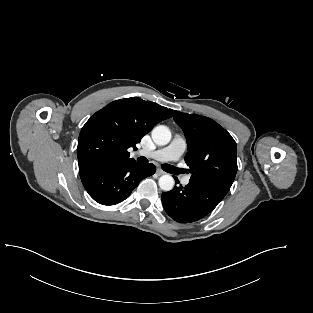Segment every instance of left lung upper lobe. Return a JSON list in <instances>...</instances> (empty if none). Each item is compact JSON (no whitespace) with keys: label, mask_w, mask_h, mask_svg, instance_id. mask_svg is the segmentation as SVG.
<instances>
[{"label":"left lung upper lobe","mask_w":313,"mask_h":313,"mask_svg":"<svg viewBox=\"0 0 313 313\" xmlns=\"http://www.w3.org/2000/svg\"><path fill=\"white\" fill-rule=\"evenodd\" d=\"M172 113L187 139L185 162L192 174L189 182L226 195L238 170L236 142L210 118L175 110Z\"/></svg>","instance_id":"left-lung-upper-lobe-1"}]
</instances>
